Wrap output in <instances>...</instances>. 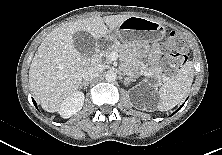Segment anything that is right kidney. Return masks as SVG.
I'll use <instances>...</instances> for the list:
<instances>
[{"instance_id":"obj_1","label":"right kidney","mask_w":222,"mask_h":155,"mask_svg":"<svg viewBox=\"0 0 222 155\" xmlns=\"http://www.w3.org/2000/svg\"><path fill=\"white\" fill-rule=\"evenodd\" d=\"M83 92H75L60 107L59 114L63 118H69L82 109L84 104Z\"/></svg>"}]
</instances>
